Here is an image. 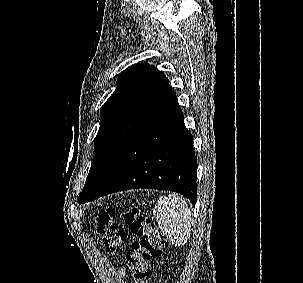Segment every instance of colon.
I'll use <instances>...</instances> for the list:
<instances>
[{
	"mask_svg": "<svg viewBox=\"0 0 303 283\" xmlns=\"http://www.w3.org/2000/svg\"><path fill=\"white\" fill-rule=\"evenodd\" d=\"M118 214L116 208L108 206L98 209L94 217L96 232L114 254L120 252L127 239V232L114 221ZM123 219L129 231L138 237L127 254L130 278L133 283H151L148 263L162 255L166 242L152 221L136 209L123 213Z\"/></svg>",
	"mask_w": 303,
	"mask_h": 283,
	"instance_id": "colon-1",
	"label": "colon"
}]
</instances>
